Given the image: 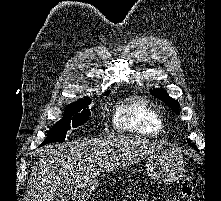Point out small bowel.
<instances>
[{"label":"small bowel","instance_id":"obj_1","mask_svg":"<svg viewBox=\"0 0 221 201\" xmlns=\"http://www.w3.org/2000/svg\"><path fill=\"white\" fill-rule=\"evenodd\" d=\"M144 201H154V200H144Z\"/></svg>","mask_w":221,"mask_h":201}]
</instances>
